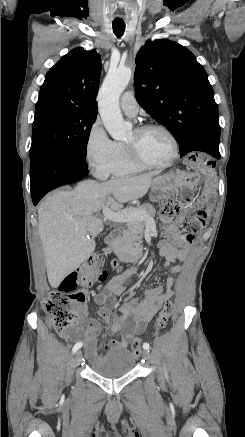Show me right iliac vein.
Returning a JSON list of instances; mask_svg holds the SVG:
<instances>
[{"mask_svg":"<svg viewBox=\"0 0 245 437\" xmlns=\"http://www.w3.org/2000/svg\"><path fill=\"white\" fill-rule=\"evenodd\" d=\"M81 359H82V352L79 350L76 352L75 357H74L75 366H77L80 363Z\"/></svg>","mask_w":245,"mask_h":437,"instance_id":"right-iliac-vein-1","label":"right iliac vein"}]
</instances>
